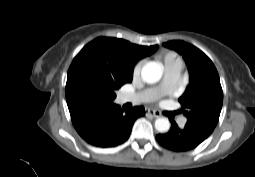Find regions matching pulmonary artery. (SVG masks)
<instances>
[{"mask_svg":"<svg viewBox=\"0 0 255 177\" xmlns=\"http://www.w3.org/2000/svg\"><path fill=\"white\" fill-rule=\"evenodd\" d=\"M179 75V73H165L163 81L157 88L149 89L135 94H122L120 96V100L124 103H142L156 100L159 96L169 93L176 87L179 81ZM185 122L186 118H181L179 120L181 125H184Z\"/></svg>","mask_w":255,"mask_h":177,"instance_id":"pulmonary-artery-1","label":"pulmonary artery"}]
</instances>
